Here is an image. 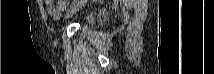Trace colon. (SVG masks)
Returning <instances> with one entry per match:
<instances>
[{"label":"colon","instance_id":"obj_1","mask_svg":"<svg viewBox=\"0 0 214 74\" xmlns=\"http://www.w3.org/2000/svg\"><path fill=\"white\" fill-rule=\"evenodd\" d=\"M46 2L47 3H54L53 0H46ZM57 2L64 5L67 1H65V0H58Z\"/></svg>","mask_w":214,"mask_h":74}]
</instances>
